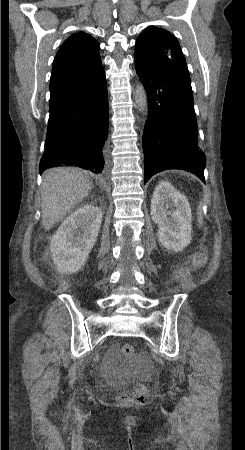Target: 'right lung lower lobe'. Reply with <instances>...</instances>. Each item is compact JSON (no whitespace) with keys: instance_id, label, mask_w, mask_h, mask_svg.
Here are the masks:
<instances>
[{"instance_id":"98d812e1","label":"right lung lower lobe","mask_w":245,"mask_h":450,"mask_svg":"<svg viewBox=\"0 0 245 450\" xmlns=\"http://www.w3.org/2000/svg\"><path fill=\"white\" fill-rule=\"evenodd\" d=\"M49 104L40 174L49 167L71 165L104 176L108 159V97L103 67Z\"/></svg>"}]
</instances>
